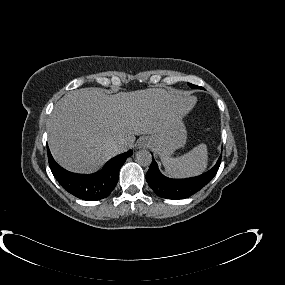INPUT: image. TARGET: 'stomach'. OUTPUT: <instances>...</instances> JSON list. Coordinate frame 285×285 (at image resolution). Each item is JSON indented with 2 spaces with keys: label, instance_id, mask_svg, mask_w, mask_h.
Instances as JSON below:
<instances>
[{
  "label": "stomach",
  "instance_id": "stomach-1",
  "mask_svg": "<svg viewBox=\"0 0 285 285\" xmlns=\"http://www.w3.org/2000/svg\"><path fill=\"white\" fill-rule=\"evenodd\" d=\"M184 115L178 117L164 131L151 135L152 146L160 156H169L176 149L183 147L187 139V131L183 123Z\"/></svg>",
  "mask_w": 285,
  "mask_h": 285
}]
</instances>
